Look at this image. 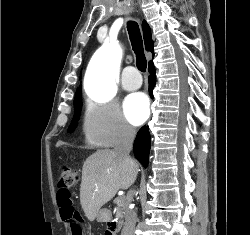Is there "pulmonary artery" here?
Instances as JSON below:
<instances>
[{"label": "pulmonary artery", "instance_id": "obj_1", "mask_svg": "<svg viewBox=\"0 0 250 235\" xmlns=\"http://www.w3.org/2000/svg\"><path fill=\"white\" fill-rule=\"evenodd\" d=\"M142 79L133 66L124 69L121 77V85L125 90L133 91L141 86Z\"/></svg>", "mask_w": 250, "mask_h": 235}]
</instances>
